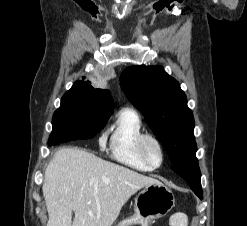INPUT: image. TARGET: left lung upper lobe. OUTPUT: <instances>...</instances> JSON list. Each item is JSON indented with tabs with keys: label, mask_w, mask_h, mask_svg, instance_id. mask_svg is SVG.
I'll use <instances>...</instances> for the list:
<instances>
[{
	"label": "left lung upper lobe",
	"mask_w": 247,
	"mask_h": 226,
	"mask_svg": "<svg viewBox=\"0 0 247 226\" xmlns=\"http://www.w3.org/2000/svg\"><path fill=\"white\" fill-rule=\"evenodd\" d=\"M120 85L167 151L173 164L196 160L194 118L180 84L160 66H131Z\"/></svg>",
	"instance_id": "obj_1"
}]
</instances>
